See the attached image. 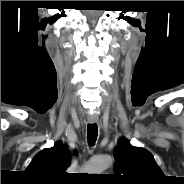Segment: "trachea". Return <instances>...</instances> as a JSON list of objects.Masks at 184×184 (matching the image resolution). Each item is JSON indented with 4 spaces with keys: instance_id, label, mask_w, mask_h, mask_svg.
<instances>
[{
    "instance_id": "1",
    "label": "trachea",
    "mask_w": 184,
    "mask_h": 184,
    "mask_svg": "<svg viewBox=\"0 0 184 184\" xmlns=\"http://www.w3.org/2000/svg\"><path fill=\"white\" fill-rule=\"evenodd\" d=\"M98 135V127L96 123L88 124L87 127V139L90 146H93L96 142Z\"/></svg>"
}]
</instances>
